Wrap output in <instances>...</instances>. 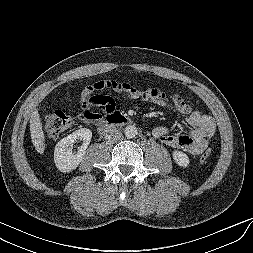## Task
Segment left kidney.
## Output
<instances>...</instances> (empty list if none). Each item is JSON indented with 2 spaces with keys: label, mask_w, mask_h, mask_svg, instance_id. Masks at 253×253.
Returning a JSON list of instances; mask_svg holds the SVG:
<instances>
[{
  "label": "left kidney",
  "mask_w": 253,
  "mask_h": 253,
  "mask_svg": "<svg viewBox=\"0 0 253 253\" xmlns=\"http://www.w3.org/2000/svg\"><path fill=\"white\" fill-rule=\"evenodd\" d=\"M173 159L181 167H187L189 165V157L182 151H173Z\"/></svg>",
  "instance_id": "obj_1"
}]
</instances>
